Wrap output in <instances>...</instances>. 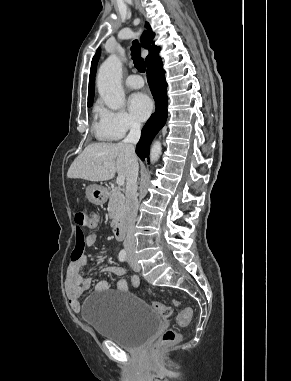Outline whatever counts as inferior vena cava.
<instances>
[{"instance_id":"inferior-vena-cava-1","label":"inferior vena cava","mask_w":291,"mask_h":381,"mask_svg":"<svg viewBox=\"0 0 291 381\" xmlns=\"http://www.w3.org/2000/svg\"><path fill=\"white\" fill-rule=\"evenodd\" d=\"M141 125L137 122L130 124V132L123 140V144L131 154V166L127 176L126 183V204H125V219H126V237L124 240V248L127 254H134L135 251V237L134 226L138 212V198H137V178L139 165L137 156L135 154V145L140 139Z\"/></svg>"}]
</instances>
